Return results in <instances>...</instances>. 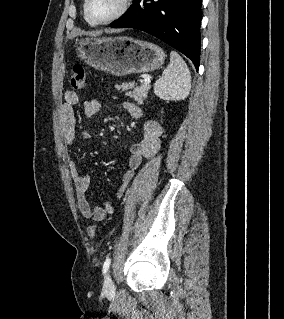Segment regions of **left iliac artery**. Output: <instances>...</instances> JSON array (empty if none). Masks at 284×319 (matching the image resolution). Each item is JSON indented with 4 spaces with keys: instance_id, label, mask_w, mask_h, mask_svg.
Returning <instances> with one entry per match:
<instances>
[{
    "instance_id": "left-iliac-artery-1",
    "label": "left iliac artery",
    "mask_w": 284,
    "mask_h": 319,
    "mask_svg": "<svg viewBox=\"0 0 284 319\" xmlns=\"http://www.w3.org/2000/svg\"><path fill=\"white\" fill-rule=\"evenodd\" d=\"M110 262H111V259H110V258H107V259L105 260V262H104V264H103V269H102L103 274H105V273L108 271L109 266H110Z\"/></svg>"
}]
</instances>
